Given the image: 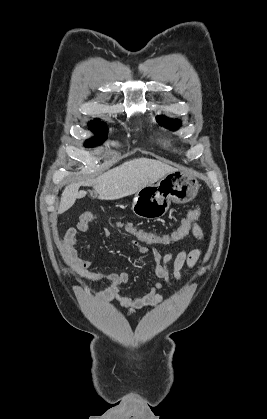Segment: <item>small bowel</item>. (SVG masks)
<instances>
[{
    "label": "small bowel",
    "mask_w": 267,
    "mask_h": 419,
    "mask_svg": "<svg viewBox=\"0 0 267 419\" xmlns=\"http://www.w3.org/2000/svg\"><path fill=\"white\" fill-rule=\"evenodd\" d=\"M96 215L92 212L81 214L77 222L70 227L62 238L61 245L64 252V258L67 265L72 271L78 273L82 277L95 283H108V287L99 292L88 291L89 295L98 297L102 300L115 301L129 313H136L144 308H153L164 301L160 293L162 283L170 286L174 285V280H180L182 269L187 266L193 268L197 263L201 251L194 249L187 251L180 250L176 254L173 252L162 253L158 248L148 247L143 244L133 245L136 251L141 255H151L153 259L154 275L160 280L145 295L132 299L121 294V287L128 283L130 274L127 272H110L103 274L91 270L93 263L80 257L77 249L79 237L85 233L89 225L95 221ZM192 234L195 238L200 239L203 236L201 226L195 222L192 226ZM104 237L111 236L109 229L102 230ZM172 264V270L170 265Z\"/></svg>",
    "instance_id": "small-bowel-1"
}]
</instances>
